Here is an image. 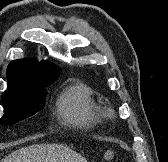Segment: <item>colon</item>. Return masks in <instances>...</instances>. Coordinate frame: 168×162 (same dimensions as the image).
Instances as JSON below:
<instances>
[{"mask_svg": "<svg viewBox=\"0 0 168 162\" xmlns=\"http://www.w3.org/2000/svg\"><path fill=\"white\" fill-rule=\"evenodd\" d=\"M115 158H116V154H115V152H113V151H106V152L104 153V159H105V161H107V162H111V161H113Z\"/></svg>", "mask_w": 168, "mask_h": 162, "instance_id": "colon-1", "label": "colon"}]
</instances>
